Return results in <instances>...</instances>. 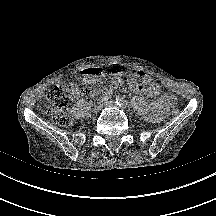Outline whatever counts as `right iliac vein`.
Here are the masks:
<instances>
[{
	"mask_svg": "<svg viewBox=\"0 0 216 216\" xmlns=\"http://www.w3.org/2000/svg\"><path fill=\"white\" fill-rule=\"evenodd\" d=\"M103 107V103L102 102H97L94 104L92 111L93 113H98Z\"/></svg>",
	"mask_w": 216,
	"mask_h": 216,
	"instance_id": "obj_1",
	"label": "right iliac vein"
}]
</instances>
